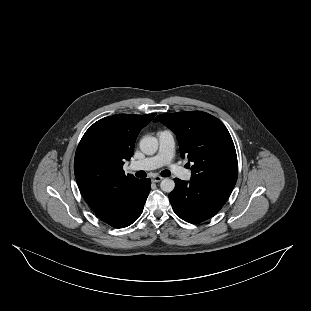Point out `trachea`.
Wrapping results in <instances>:
<instances>
[{"label": "trachea", "mask_w": 311, "mask_h": 311, "mask_svg": "<svg viewBox=\"0 0 311 311\" xmlns=\"http://www.w3.org/2000/svg\"><path fill=\"white\" fill-rule=\"evenodd\" d=\"M161 175L163 177H169L171 175V172L169 170H164ZM137 177H140V178H145L146 177V173H137L136 174Z\"/></svg>", "instance_id": "obj_1"}]
</instances>
